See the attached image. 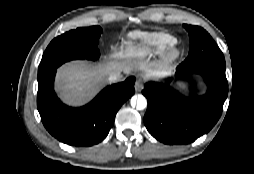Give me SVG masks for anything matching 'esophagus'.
I'll return each mask as SVG.
<instances>
[{"label":"esophagus","instance_id":"1","mask_svg":"<svg viewBox=\"0 0 254 174\" xmlns=\"http://www.w3.org/2000/svg\"><path fill=\"white\" fill-rule=\"evenodd\" d=\"M144 87V80L139 78L135 82V90L136 92H140Z\"/></svg>","mask_w":254,"mask_h":174}]
</instances>
